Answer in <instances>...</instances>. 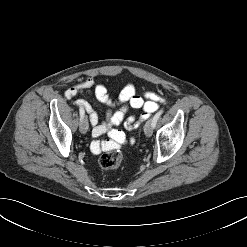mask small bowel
Wrapping results in <instances>:
<instances>
[{
  "mask_svg": "<svg viewBox=\"0 0 247 247\" xmlns=\"http://www.w3.org/2000/svg\"><path fill=\"white\" fill-rule=\"evenodd\" d=\"M93 93L97 101L107 107V111L103 120L99 121V116L93 107L85 100L78 99L75 104L84 109L89 115V121L93 126L92 135L100 137L106 133L110 135L112 140H115V134L120 131L114 129L115 126L124 123L128 130L137 128L138 122L134 117H126L130 108L142 109V119H147L153 112L158 109L160 103H163L164 98L155 92H145L137 94L135 86L128 83L119 93L117 99H112L108 89L103 83H96L93 78H87L82 82L72 85L65 91V97L72 99L79 93ZM123 135V134H122ZM111 140V141H112ZM110 141H95L92 144L94 152L98 153L107 148L106 144Z\"/></svg>",
  "mask_w": 247,
  "mask_h": 247,
  "instance_id": "1",
  "label": "small bowel"
}]
</instances>
